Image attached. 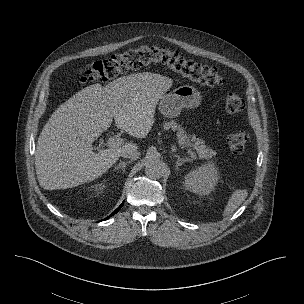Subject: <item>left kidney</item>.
I'll use <instances>...</instances> for the list:
<instances>
[{
	"instance_id": "1",
	"label": "left kidney",
	"mask_w": 304,
	"mask_h": 304,
	"mask_svg": "<svg viewBox=\"0 0 304 304\" xmlns=\"http://www.w3.org/2000/svg\"><path fill=\"white\" fill-rule=\"evenodd\" d=\"M218 178V169L209 163L189 172L184 178V184L189 191L203 196L215 188Z\"/></svg>"
}]
</instances>
